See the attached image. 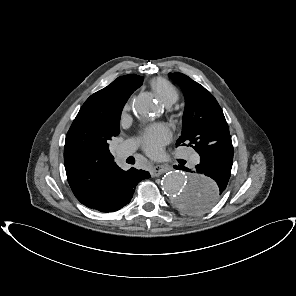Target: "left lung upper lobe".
Instances as JSON below:
<instances>
[{"label":"left lung upper lobe","instance_id":"5c2ea615","mask_svg":"<svg viewBox=\"0 0 296 296\" xmlns=\"http://www.w3.org/2000/svg\"><path fill=\"white\" fill-rule=\"evenodd\" d=\"M169 77L185 96L182 133L176 146L189 145L201 156L216 148L218 141L230 137L221 107L209 91L182 73H169ZM193 199L186 201L185 208Z\"/></svg>","mask_w":296,"mask_h":296}]
</instances>
